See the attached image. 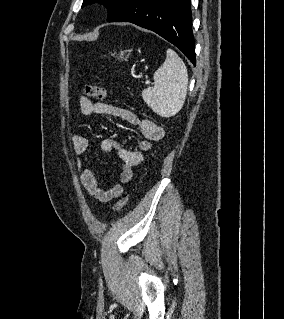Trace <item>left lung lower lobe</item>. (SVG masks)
Instances as JSON below:
<instances>
[{"label":"left lung lower lobe","mask_w":284,"mask_h":319,"mask_svg":"<svg viewBox=\"0 0 284 319\" xmlns=\"http://www.w3.org/2000/svg\"><path fill=\"white\" fill-rule=\"evenodd\" d=\"M108 22H130L149 29L196 65L190 0H127Z\"/></svg>","instance_id":"1"}]
</instances>
